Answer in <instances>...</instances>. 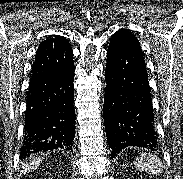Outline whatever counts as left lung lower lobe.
<instances>
[{
  "mask_svg": "<svg viewBox=\"0 0 183 179\" xmlns=\"http://www.w3.org/2000/svg\"><path fill=\"white\" fill-rule=\"evenodd\" d=\"M104 122L111 158L129 146L156 150L157 132L142 49L128 30L114 33L107 50Z\"/></svg>",
  "mask_w": 183,
  "mask_h": 179,
  "instance_id": "0a47b994",
  "label": "left lung lower lobe"
}]
</instances>
